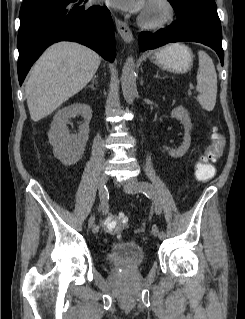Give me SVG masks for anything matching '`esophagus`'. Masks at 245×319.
Here are the masks:
<instances>
[{
    "label": "esophagus",
    "instance_id": "34e87169",
    "mask_svg": "<svg viewBox=\"0 0 245 319\" xmlns=\"http://www.w3.org/2000/svg\"><path fill=\"white\" fill-rule=\"evenodd\" d=\"M114 19L118 33L120 34L122 39L126 43H131L133 41V34L129 26L117 17H115Z\"/></svg>",
    "mask_w": 245,
    "mask_h": 319
}]
</instances>
